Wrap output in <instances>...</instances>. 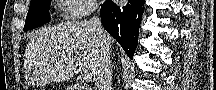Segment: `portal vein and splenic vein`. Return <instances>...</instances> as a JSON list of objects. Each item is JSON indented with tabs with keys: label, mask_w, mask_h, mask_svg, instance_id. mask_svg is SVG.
Masks as SVG:
<instances>
[{
	"label": "portal vein and splenic vein",
	"mask_w": 216,
	"mask_h": 90,
	"mask_svg": "<svg viewBox=\"0 0 216 90\" xmlns=\"http://www.w3.org/2000/svg\"><path fill=\"white\" fill-rule=\"evenodd\" d=\"M82 78H83V80H87V78H89V76H87V74H82Z\"/></svg>",
	"instance_id": "portal-vein-and-splenic-vein-1"
}]
</instances>
